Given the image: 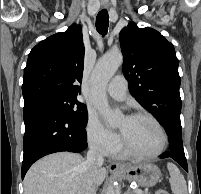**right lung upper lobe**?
<instances>
[{"mask_svg":"<svg viewBox=\"0 0 201 194\" xmlns=\"http://www.w3.org/2000/svg\"><path fill=\"white\" fill-rule=\"evenodd\" d=\"M84 52L81 26L76 24L38 43L29 53L24 69V103L44 95L77 98Z\"/></svg>","mask_w":201,"mask_h":194,"instance_id":"right-lung-upper-lobe-1","label":"right lung upper lobe"}]
</instances>
